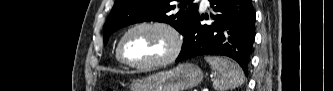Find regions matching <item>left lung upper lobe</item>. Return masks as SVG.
I'll list each match as a JSON object with an SVG mask.
<instances>
[{
  "mask_svg": "<svg viewBox=\"0 0 333 91\" xmlns=\"http://www.w3.org/2000/svg\"><path fill=\"white\" fill-rule=\"evenodd\" d=\"M116 0L103 28L106 45L109 36L116 30L142 21H159L172 25L182 35L198 10L193 0ZM177 8V13L173 11Z\"/></svg>",
  "mask_w": 333,
  "mask_h": 91,
  "instance_id": "1",
  "label": "left lung upper lobe"
}]
</instances>
